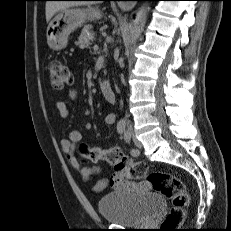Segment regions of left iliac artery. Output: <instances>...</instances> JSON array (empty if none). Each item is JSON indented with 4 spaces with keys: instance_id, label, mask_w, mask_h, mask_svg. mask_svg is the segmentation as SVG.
<instances>
[{
    "instance_id": "1",
    "label": "left iliac artery",
    "mask_w": 231,
    "mask_h": 231,
    "mask_svg": "<svg viewBox=\"0 0 231 231\" xmlns=\"http://www.w3.org/2000/svg\"><path fill=\"white\" fill-rule=\"evenodd\" d=\"M124 140L126 143L130 144V141H131V133L130 132L126 131L124 133ZM130 153L132 156L139 155V151L137 149H134V148L131 149Z\"/></svg>"
}]
</instances>
